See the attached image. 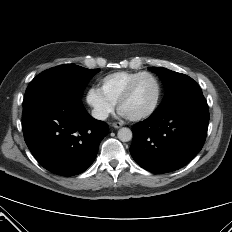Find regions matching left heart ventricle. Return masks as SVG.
Listing matches in <instances>:
<instances>
[{
    "mask_svg": "<svg viewBox=\"0 0 232 232\" xmlns=\"http://www.w3.org/2000/svg\"><path fill=\"white\" fill-rule=\"evenodd\" d=\"M157 96L155 81L144 76L138 80L131 97L123 104L121 112L126 116H135L149 110Z\"/></svg>",
    "mask_w": 232,
    "mask_h": 232,
    "instance_id": "1",
    "label": "left heart ventricle"
}]
</instances>
